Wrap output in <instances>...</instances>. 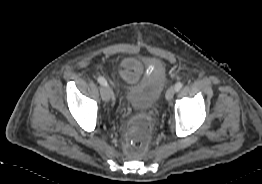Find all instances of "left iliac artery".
<instances>
[{
	"label": "left iliac artery",
	"instance_id": "obj_1",
	"mask_svg": "<svg viewBox=\"0 0 262 184\" xmlns=\"http://www.w3.org/2000/svg\"><path fill=\"white\" fill-rule=\"evenodd\" d=\"M182 86H183V83L182 82H177L176 84H175V91L176 92H178L181 88H182Z\"/></svg>",
	"mask_w": 262,
	"mask_h": 184
}]
</instances>
